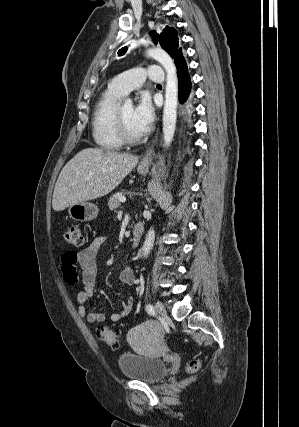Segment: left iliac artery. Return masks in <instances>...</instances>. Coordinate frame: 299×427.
<instances>
[{
  "mask_svg": "<svg viewBox=\"0 0 299 427\" xmlns=\"http://www.w3.org/2000/svg\"><path fill=\"white\" fill-rule=\"evenodd\" d=\"M146 311H147L150 315H155L154 307H153L151 304H147V305H146Z\"/></svg>",
  "mask_w": 299,
  "mask_h": 427,
  "instance_id": "44dca946",
  "label": "left iliac artery"
}]
</instances>
